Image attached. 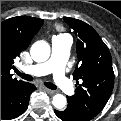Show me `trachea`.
<instances>
[{
	"label": "trachea",
	"instance_id": "trachea-1",
	"mask_svg": "<svg viewBox=\"0 0 121 121\" xmlns=\"http://www.w3.org/2000/svg\"><path fill=\"white\" fill-rule=\"evenodd\" d=\"M15 73L18 76H20L22 79L27 81H32L34 79L31 75L21 73L18 70H15ZM44 85L49 89H53V90L57 89V86H55L53 83H50V82H45Z\"/></svg>",
	"mask_w": 121,
	"mask_h": 121
}]
</instances>
